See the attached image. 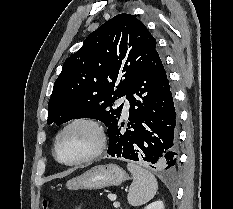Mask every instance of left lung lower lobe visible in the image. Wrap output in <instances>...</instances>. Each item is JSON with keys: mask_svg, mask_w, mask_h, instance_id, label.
Here are the masks:
<instances>
[{"mask_svg": "<svg viewBox=\"0 0 233 209\" xmlns=\"http://www.w3.org/2000/svg\"><path fill=\"white\" fill-rule=\"evenodd\" d=\"M128 128L119 119L108 129V154L173 170L177 163V115L163 63L156 51L133 80Z\"/></svg>", "mask_w": 233, "mask_h": 209, "instance_id": "0a47b994", "label": "left lung lower lobe"}]
</instances>
